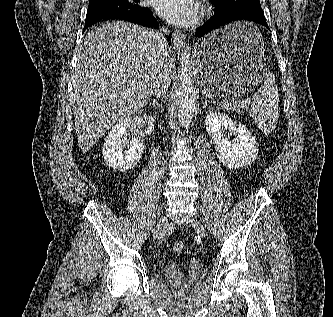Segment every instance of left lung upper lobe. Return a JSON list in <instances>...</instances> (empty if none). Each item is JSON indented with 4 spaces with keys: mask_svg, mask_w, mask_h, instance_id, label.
<instances>
[{
    "mask_svg": "<svg viewBox=\"0 0 333 317\" xmlns=\"http://www.w3.org/2000/svg\"><path fill=\"white\" fill-rule=\"evenodd\" d=\"M217 7H235L260 4L259 0H210Z\"/></svg>",
    "mask_w": 333,
    "mask_h": 317,
    "instance_id": "left-lung-upper-lobe-1",
    "label": "left lung upper lobe"
}]
</instances>
